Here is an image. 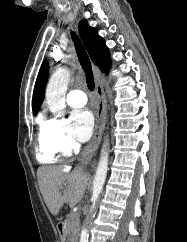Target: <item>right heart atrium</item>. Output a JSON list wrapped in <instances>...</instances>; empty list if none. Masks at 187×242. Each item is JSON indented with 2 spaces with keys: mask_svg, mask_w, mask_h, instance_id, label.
<instances>
[{
  "mask_svg": "<svg viewBox=\"0 0 187 242\" xmlns=\"http://www.w3.org/2000/svg\"><path fill=\"white\" fill-rule=\"evenodd\" d=\"M43 134L49 145L62 155H69L78 148L66 120L50 118L44 121Z\"/></svg>",
  "mask_w": 187,
  "mask_h": 242,
  "instance_id": "right-heart-atrium-1",
  "label": "right heart atrium"
}]
</instances>
